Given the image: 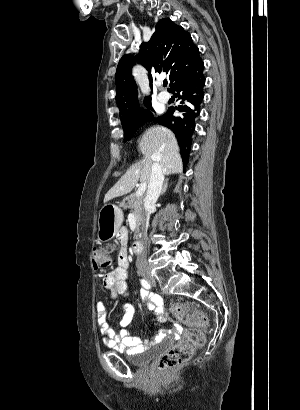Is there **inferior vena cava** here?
I'll return each instance as SVG.
<instances>
[{"label":"inferior vena cava","mask_w":300,"mask_h":410,"mask_svg":"<svg viewBox=\"0 0 300 410\" xmlns=\"http://www.w3.org/2000/svg\"><path fill=\"white\" fill-rule=\"evenodd\" d=\"M164 181V172L161 165L158 162H154L151 166L150 181L146 196L144 198V215L142 221V234L146 237V230L149 224L150 214L155 210V204L161 194ZM143 240V239H142ZM140 255L137 256L136 266L138 270L147 269V255L144 249L140 250Z\"/></svg>","instance_id":"obj_1"}]
</instances>
